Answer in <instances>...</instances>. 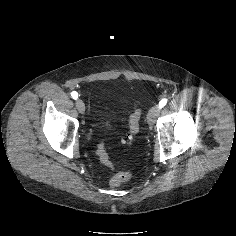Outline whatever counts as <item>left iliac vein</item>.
Here are the masks:
<instances>
[{"instance_id": "left-iliac-vein-1", "label": "left iliac vein", "mask_w": 236, "mask_h": 236, "mask_svg": "<svg viewBox=\"0 0 236 236\" xmlns=\"http://www.w3.org/2000/svg\"><path fill=\"white\" fill-rule=\"evenodd\" d=\"M160 113V107L159 106H153L148 114H147V122L149 125H153L157 117L159 116Z\"/></svg>"}]
</instances>
